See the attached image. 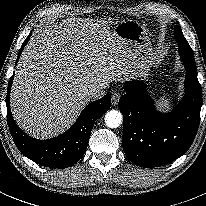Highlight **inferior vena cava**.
Here are the masks:
<instances>
[{
  "label": "inferior vena cava",
  "mask_w": 206,
  "mask_h": 206,
  "mask_svg": "<svg viewBox=\"0 0 206 206\" xmlns=\"http://www.w3.org/2000/svg\"><path fill=\"white\" fill-rule=\"evenodd\" d=\"M105 95V91L102 88H92L88 91V97L90 100H96Z\"/></svg>",
  "instance_id": "inferior-vena-cava-1"
}]
</instances>
